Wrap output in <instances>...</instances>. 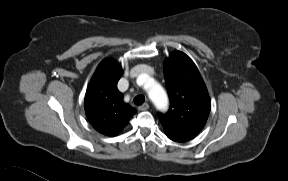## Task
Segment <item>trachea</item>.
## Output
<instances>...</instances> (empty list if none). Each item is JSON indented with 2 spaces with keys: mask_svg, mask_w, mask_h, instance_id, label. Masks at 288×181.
I'll return each mask as SVG.
<instances>
[{
  "mask_svg": "<svg viewBox=\"0 0 288 181\" xmlns=\"http://www.w3.org/2000/svg\"><path fill=\"white\" fill-rule=\"evenodd\" d=\"M144 101H145L144 95H138L134 98V103L136 105H142L144 103Z\"/></svg>",
  "mask_w": 288,
  "mask_h": 181,
  "instance_id": "1",
  "label": "trachea"
}]
</instances>
